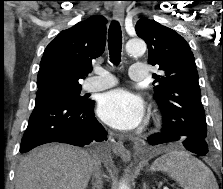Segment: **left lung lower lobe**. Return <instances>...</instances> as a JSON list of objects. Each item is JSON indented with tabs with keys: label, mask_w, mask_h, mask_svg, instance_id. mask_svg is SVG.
Wrapping results in <instances>:
<instances>
[{
	"label": "left lung lower lobe",
	"mask_w": 223,
	"mask_h": 189,
	"mask_svg": "<svg viewBox=\"0 0 223 189\" xmlns=\"http://www.w3.org/2000/svg\"><path fill=\"white\" fill-rule=\"evenodd\" d=\"M173 141H182L184 147L187 150L196 153L198 155H206L208 153L207 141L200 140L191 136L180 138L175 135H169L161 132L153 134L147 138V143L152 146L161 145Z\"/></svg>",
	"instance_id": "obj_1"
}]
</instances>
